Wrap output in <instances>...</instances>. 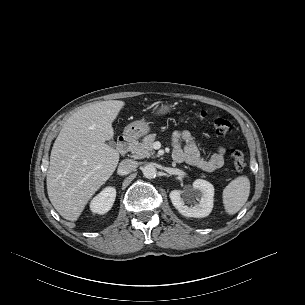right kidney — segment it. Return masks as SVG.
Returning a JSON list of instances; mask_svg holds the SVG:
<instances>
[{
    "label": "right kidney",
    "instance_id": "1",
    "mask_svg": "<svg viewBox=\"0 0 305 305\" xmlns=\"http://www.w3.org/2000/svg\"><path fill=\"white\" fill-rule=\"evenodd\" d=\"M116 197V189L114 187H107L101 191L90 203V209L93 213L105 214L107 213Z\"/></svg>",
    "mask_w": 305,
    "mask_h": 305
}]
</instances>
